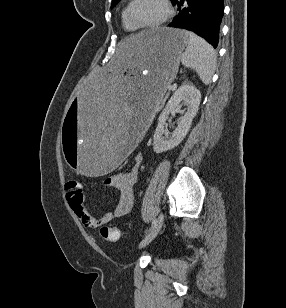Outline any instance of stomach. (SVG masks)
I'll list each match as a JSON object with an SVG mask.
<instances>
[{
    "instance_id": "obj_1",
    "label": "stomach",
    "mask_w": 286,
    "mask_h": 308,
    "mask_svg": "<svg viewBox=\"0 0 286 308\" xmlns=\"http://www.w3.org/2000/svg\"><path fill=\"white\" fill-rule=\"evenodd\" d=\"M148 32L124 36L65 112L61 144L70 173L110 177L137 149L145 125H152L154 107L176 77L187 36L167 27Z\"/></svg>"
}]
</instances>
